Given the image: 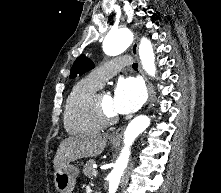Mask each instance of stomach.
Listing matches in <instances>:
<instances>
[{
	"mask_svg": "<svg viewBox=\"0 0 221 193\" xmlns=\"http://www.w3.org/2000/svg\"><path fill=\"white\" fill-rule=\"evenodd\" d=\"M113 145L118 144L117 141L111 140ZM79 169L69 163L59 167L54 173L55 187L59 193H71L76 184V178Z\"/></svg>",
	"mask_w": 221,
	"mask_h": 193,
	"instance_id": "stomach-1",
	"label": "stomach"
}]
</instances>
